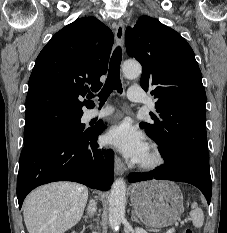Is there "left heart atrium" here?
Instances as JSON below:
<instances>
[{"label": "left heart atrium", "mask_w": 227, "mask_h": 233, "mask_svg": "<svg viewBox=\"0 0 227 233\" xmlns=\"http://www.w3.org/2000/svg\"><path fill=\"white\" fill-rule=\"evenodd\" d=\"M104 139L106 144L135 162L141 160L148 148L144 134L129 120L112 125Z\"/></svg>", "instance_id": "left-heart-atrium-1"}]
</instances>
